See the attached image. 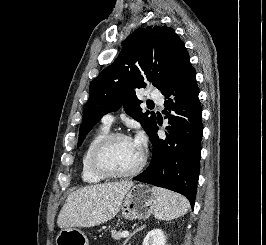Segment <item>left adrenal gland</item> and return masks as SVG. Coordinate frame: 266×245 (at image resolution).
Wrapping results in <instances>:
<instances>
[{
    "mask_svg": "<svg viewBox=\"0 0 266 245\" xmlns=\"http://www.w3.org/2000/svg\"><path fill=\"white\" fill-rule=\"evenodd\" d=\"M143 227H138V229H135V231H133V233H131L130 237H128V239H126V241H124L123 245H127L128 241H130L131 237H133V235H136V233H139V231H142Z\"/></svg>",
    "mask_w": 266,
    "mask_h": 245,
    "instance_id": "left-adrenal-gland-1",
    "label": "left adrenal gland"
}]
</instances>
